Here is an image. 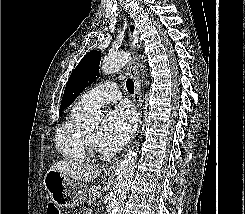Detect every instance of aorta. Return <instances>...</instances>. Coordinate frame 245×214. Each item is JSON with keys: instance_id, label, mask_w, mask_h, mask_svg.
Returning a JSON list of instances; mask_svg holds the SVG:
<instances>
[{"instance_id": "1", "label": "aorta", "mask_w": 245, "mask_h": 214, "mask_svg": "<svg viewBox=\"0 0 245 214\" xmlns=\"http://www.w3.org/2000/svg\"><path fill=\"white\" fill-rule=\"evenodd\" d=\"M129 59V54L126 52H118L108 55L101 65V71L105 75L113 73L114 71L124 67L128 63ZM100 119L101 115L99 113H93L88 116L87 120L90 123L97 125L99 124ZM136 160V147L132 146L121 160L120 167L118 169L116 182L113 188L112 214L122 213L124 202L134 176Z\"/></svg>"}]
</instances>
